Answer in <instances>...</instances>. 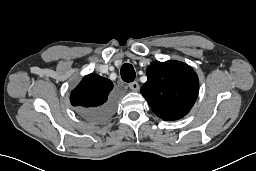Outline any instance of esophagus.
I'll return each mask as SVG.
<instances>
[{"mask_svg": "<svg viewBox=\"0 0 256 171\" xmlns=\"http://www.w3.org/2000/svg\"><path fill=\"white\" fill-rule=\"evenodd\" d=\"M129 88L133 91H138L139 90V84L137 82H132L129 84Z\"/></svg>", "mask_w": 256, "mask_h": 171, "instance_id": "34e87169", "label": "esophagus"}]
</instances>
